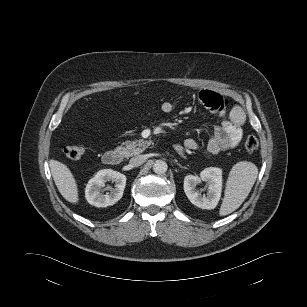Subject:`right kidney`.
Segmentation results:
<instances>
[{"label":"right kidney","instance_id":"1","mask_svg":"<svg viewBox=\"0 0 307 307\" xmlns=\"http://www.w3.org/2000/svg\"><path fill=\"white\" fill-rule=\"evenodd\" d=\"M107 181L115 182V188L110 193H102V188ZM126 185V176L112 169H102L91 178L85 189V197L91 205L107 207L114 205L123 196Z\"/></svg>","mask_w":307,"mask_h":307}]
</instances>
